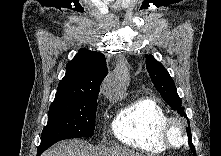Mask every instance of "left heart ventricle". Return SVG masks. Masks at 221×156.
<instances>
[{
  "label": "left heart ventricle",
  "mask_w": 221,
  "mask_h": 156,
  "mask_svg": "<svg viewBox=\"0 0 221 156\" xmlns=\"http://www.w3.org/2000/svg\"><path fill=\"white\" fill-rule=\"evenodd\" d=\"M183 139V133L182 129L178 126L175 125L173 126L171 130V141L174 145H180Z\"/></svg>",
  "instance_id": "obj_1"
}]
</instances>
